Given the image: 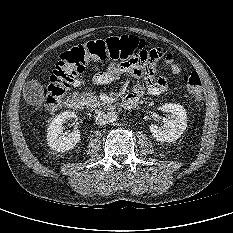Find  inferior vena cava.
<instances>
[{
	"mask_svg": "<svg viewBox=\"0 0 233 233\" xmlns=\"http://www.w3.org/2000/svg\"><path fill=\"white\" fill-rule=\"evenodd\" d=\"M95 122L98 125H105L107 123L106 114L101 110H95Z\"/></svg>",
	"mask_w": 233,
	"mask_h": 233,
	"instance_id": "602c4592",
	"label": "inferior vena cava"
}]
</instances>
